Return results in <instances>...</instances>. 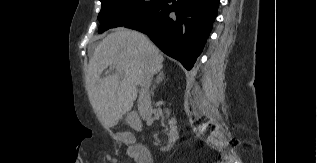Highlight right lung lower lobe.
Instances as JSON below:
<instances>
[{
  "label": "right lung lower lobe",
  "instance_id": "98d812e1",
  "mask_svg": "<svg viewBox=\"0 0 317 163\" xmlns=\"http://www.w3.org/2000/svg\"><path fill=\"white\" fill-rule=\"evenodd\" d=\"M219 0H164L150 14L125 27L138 30L190 70L203 50Z\"/></svg>",
  "mask_w": 317,
  "mask_h": 163
}]
</instances>
